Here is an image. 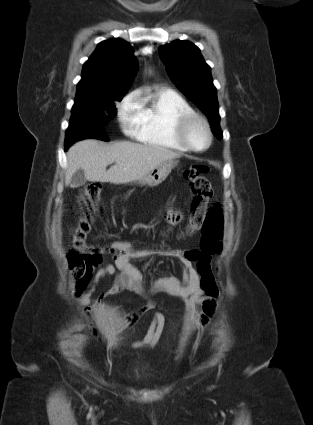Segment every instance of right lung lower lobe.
<instances>
[{"label": "right lung lower lobe", "mask_w": 313, "mask_h": 425, "mask_svg": "<svg viewBox=\"0 0 313 425\" xmlns=\"http://www.w3.org/2000/svg\"><path fill=\"white\" fill-rule=\"evenodd\" d=\"M97 138L108 141L106 134L102 131L101 124L92 119H78L76 124L68 127L66 130L65 150H67L74 142L86 139Z\"/></svg>", "instance_id": "obj_1"}]
</instances>
